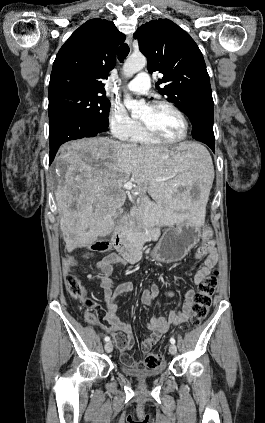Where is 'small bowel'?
Here are the masks:
<instances>
[{"instance_id":"c3829d8e","label":"small bowel","mask_w":265,"mask_h":423,"mask_svg":"<svg viewBox=\"0 0 265 423\" xmlns=\"http://www.w3.org/2000/svg\"><path fill=\"white\" fill-rule=\"evenodd\" d=\"M195 257L204 260L203 266L196 271L193 278V283L195 285H200L210 274L218 260L213 242L209 241L206 246H201L196 251ZM119 265H126V262L121 260L119 255L115 253L105 256L98 263V269L100 270L99 280L105 296L107 310V317L103 323V329L113 336L117 348L120 351L122 363L128 367H141L143 361L134 360L127 353L133 345L131 327L120 317V308L117 303V299L121 294L129 293L133 290V284L131 282H126L114 287V283L110 278L114 269ZM163 292L170 297L175 295L173 291L163 290L159 285L152 283L144 291L142 302L145 305H150ZM195 294L196 291L194 289H189L185 292V300L180 311L173 312L166 309L167 318L158 316L151 317L148 320L146 328L149 335L140 343V349L143 353H148L152 349L160 337L168 331L170 325H179L188 321L191 316Z\"/></svg>"}]
</instances>
